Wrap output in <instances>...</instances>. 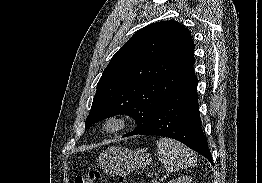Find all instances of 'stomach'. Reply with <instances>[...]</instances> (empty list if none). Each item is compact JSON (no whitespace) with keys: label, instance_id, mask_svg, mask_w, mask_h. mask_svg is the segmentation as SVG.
<instances>
[{"label":"stomach","instance_id":"0dacf381","mask_svg":"<svg viewBox=\"0 0 262 183\" xmlns=\"http://www.w3.org/2000/svg\"><path fill=\"white\" fill-rule=\"evenodd\" d=\"M152 159L147 149L130 150L123 147H110L103 151L99 158V166L110 175L125 176L137 168H144Z\"/></svg>","mask_w":262,"mask_h":183}]
</instances>
